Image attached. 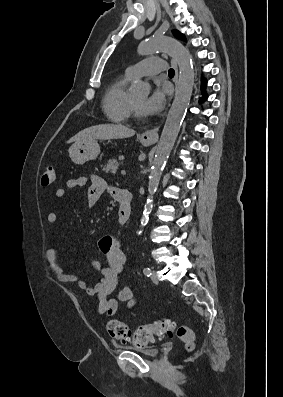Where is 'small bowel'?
<instances>
[{
  "label": "small bowel",
  "mask_w": 283,
  "mask_h": 397,
  "mask_svg": "<svg viewBox=\"0 0 283 397\" xmlns=\"http://www.w3.org/2000/svg\"><path fill=\"white\" fill-rule=\"evenodd\" d=\"M87 182V177L80 176L67 180L66 186L69 189H73L83 187ZM106 190L118 202L122 190L109 188L102 177L92 175L90 177L87 196L89 207L95 206ZM64 197L65 189L58 188L55 191V198L61 200ZM47 221L50 224H55L58 221L57 213H48ZM98 246L100 251L106 255L107 263L106 265H102L98 260L91 261V266L95 270L100 271L102 275L101 279L94 286H89L84 279L76 274L67 273L59 264L57 249L52 244H49L46 249L48 267L61 283H75L87 295L97 296L99 301L97 311L100 315L113 316L117 312L120 302H126L127 310H132L137 304L132 288L128 286L119 287L121 273L126 262V255L118 237L116 235H106L99 240Z\"/></svg>",
  "instance_id": "small-bowel-1"
}]
</instances>
